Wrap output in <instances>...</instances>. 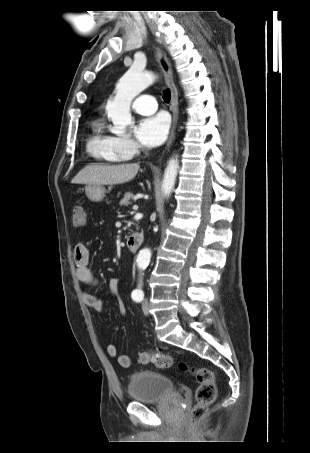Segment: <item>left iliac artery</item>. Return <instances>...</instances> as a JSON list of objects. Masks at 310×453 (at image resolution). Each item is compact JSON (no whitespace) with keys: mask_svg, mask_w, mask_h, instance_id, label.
<instances>
[{"mask_svg":"<svg viewBox=\"0 0 310 453\" xmlns=\"http://www.w3.org/2000/svg\"><path fill=\"white\" fill-rule=\"evenodd\" d=\"M141 286V285H139ZM132 299L136 302H141L143 300V297H144V293L142 291L141 288H138V289H135L133 292H132Z\"/></svg>","mask_w":310,"mask_h":453,"instance_id":"obj_1","label":"left iliac artery"}]
</instances>
